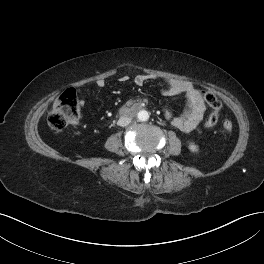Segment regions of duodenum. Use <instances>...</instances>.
Listing matches in <instances>:
<instances>
[{"mask_svg":"<svg viewBox=\"0 0 264 264\" xmlns=\"http://www.w3.org/2000/svg\"><path fill=\"white\" fill-rule=\"evenodd\" d=\"M143 108V106L141 105H136L134 106L133 108L129 109V108H126L122 111V115L124 117H129L132 113L138 111V110H141Z\"/></svg>","mask_w":264,"mask_h":264,"instance_id":"duodenum-1","label":"duodenum"}]
</instances>
